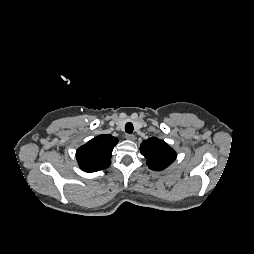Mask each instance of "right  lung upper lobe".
Masks as SVG:
<instances>
[{
    "label": "right lung upper lobe",
    "mask_w": 254,
    "mask_h": 254,
    "mask_svg": "<svg viewBox=\"0 0 254 254\" xmlns=\"http://www.w3.org/2000/svg\"><path fill=\"white\" fill-rule=\"evenodd\" d=\"M118 139L112 135H99L78 148L76 159L85 172L106 169L111 164V153Z\"/></svg>",
    "instance_id": "1"
}]
</instances>
